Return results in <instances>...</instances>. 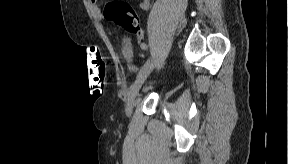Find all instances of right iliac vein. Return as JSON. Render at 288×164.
Here are the masks:
<instances>
[{"label":"right iliac vein","instance_id":"63e3f726","mask_svg":"<svg viewBox=\"0 0 288 164\" xmlns=\"http://www.w3.org/2000/svg\"><path fill=\"white\" fill-rule=\"evenodd\" d=\"M155 63V58H151L150 60H148L145 65L143 66V68L141 69L139 75L137 76V79L135 81V83L133 84V86L131 87L130 93H129V97H128V101L126 104V114L127 116H130L133 108L136 105V97L138 95V92L140 90V88L142 87L144 81L146 80V78L148 77V75L150 74L153 66Z\"/></svg>","mask_w":288,"mask_h":164}]
</instances>
